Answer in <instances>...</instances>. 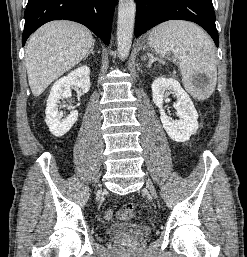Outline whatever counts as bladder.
<instances>
[{
    "mask_svg": "<svg viewBox=\"0 0 247 257\" xmlns=\"http://www.w3.org/2000/svg\"><path fill=\"white\" fill-rule=\"evenodd\" d=\"M152 230L147 225L135 223H120L106 227L104 233L106 236L119 240L138 241L146 238Z\"/></svg>",
    "mask_w": 247,
    "mask_h": 257,
    "instance_id": "obj_1",
    "label": "bladder"
}]
</instances>
